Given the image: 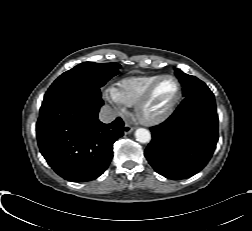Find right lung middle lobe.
I'll list each match as a JSON object with an SVG mask.
<instances>
[{"mask_svg": "<svg viewBox=\"0 0 252 231\" xmlns=\"http://www.w3.org/2000/svg\"><path fill=\"white\" fill-rule=\"evenodd\" d=\"M118 63L83 62L58 77L47 90L43 102L70 93H90L101 97L100 88L117 75Z\"/></svg>", "mask_w": 252, "mask_h": 231, "instance_id": "1", "label": "right lung middle lobe"}]
</instances>
